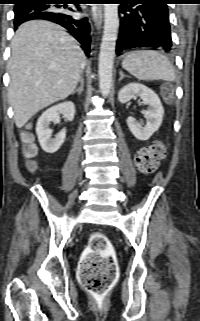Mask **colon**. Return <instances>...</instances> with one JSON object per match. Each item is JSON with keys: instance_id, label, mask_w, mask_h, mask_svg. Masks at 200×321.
I'll list each match as a JSON object with an SVG mask.
<instances>
[{"instance_id": "obj_1", "label": "colon", "mask_w": 200, "mask_h": 321, "mask_svg": "<svg viewBox=\"0 0 200 321\" xmlns=\"http://www.w3.org/2000/svg\"><path fill=\"white\" fill-rule=\"evenodd\" d=\"M163 93L165 99L171 101L172 88L170 85L164 86ZM24 140L26 143L24 153L26 157L32 158L37 151L32 138L30 135H25ZM165 155L164 144L154 142L137 152L135 163L141 173L151 174L158 168ZM28 168L33 171L35 163L29 161ZM116 276L115 252L110 240L101 232L93 233L80 263V283L93 296L101 298L108 292Z\"/></svg>"}]
</instances>
